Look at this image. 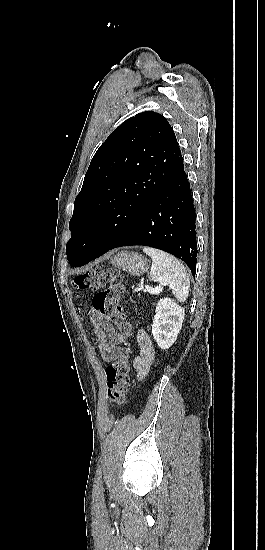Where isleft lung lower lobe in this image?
I'll list each match as a JSON object with an SVG mask.
<instances>
[{"label":"left lung lower lobe","mask_w":265,"mask_h":550,"mask_svg":"<svg viewBox=\"0 0 265 550\" xmlns=\"http://www.w3.org/2000/svg\"><path fill=\"white\" fill-rule=\"evenodd\" d=\"M195 218L190 184L182 163L131 226L107 250L85 258L80 266L111 249L143 245L161 249L180 258L195 276L197 263Z\"/></svg>","instance_id":"obj_1"}]
</instances>
